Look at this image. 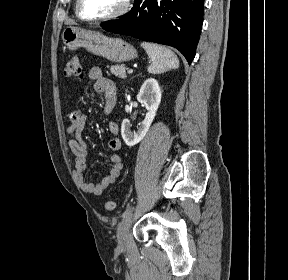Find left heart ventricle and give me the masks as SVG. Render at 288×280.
<instances>
[{"label": "left heart ventricle", "mask_w": 288, "mask_h": 280, "mask_svg": "<svg viewBox=\"0 0 288 280\" xmlns=\"http://www.w3.org/2000/svg\"><path fill=\"white\" fill-rule=\"evenodd\" d=\"M124 0H82L81 11L84 16L98 18L114 13L123 5Z\"/></svg>", "instance_id": "1"}]
</instances>
